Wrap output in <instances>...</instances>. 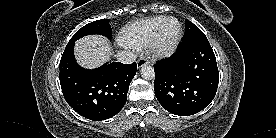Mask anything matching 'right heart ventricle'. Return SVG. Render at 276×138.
<instances>
[{"label": "right heart ventricle", "mask_w": 276, "mask_h": 138, "mask_svg": "<svg viewBox=\"0 0 276 138\" xmlns=\"http://www.w3.org/2000/svg\"><path fill=\"white\" fill-rule=\"evenodd\" d=\"M167 16H155L128 25L120 36L123 45L133 49L147 47L159 25Z\"/></svg>", "instance_id": "1"}]
</instances>
